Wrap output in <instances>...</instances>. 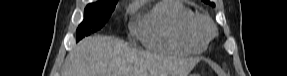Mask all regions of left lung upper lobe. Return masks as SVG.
Returning <instances> with one entry per match:
<instances>
[{
  "instance_id": "left-lung-upper-lobe-1",
  "label": "left lung upper lobe",
  "mask_w": 287,
  "mask_h": 76,
  "mask_svg": "<svg viewBox=\"0 0 287 76\" xmlns=\"http://www.w3.org/2000/svg\"><path fill=\"white\" fill-rule=\"evenodd\" d=\"M205 3H207V4H210V5H212V6H215V4L214 3H212V2H210L209 0H203Z\"/></svg>"
}]
</instances>
